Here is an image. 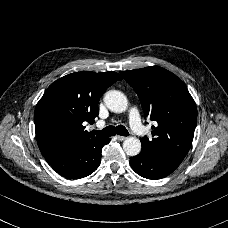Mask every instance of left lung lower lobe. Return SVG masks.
<instances>
[{
    "label": "left lung lower lobe",
    "instance_id": "left-lung-lower-lobe-1",
    "mask_svg": "<svg viewBox=\"0 0 228 228\" xmlns=\"http://www.w3.org/2000/svg\"><path fill=\"white\" fill-rule=\"evenodd\" d=\"M182 160L153 155L142 148L137 156L130 158V165L138 175L155 180L171 174Z\"/></svg>",
    "mask_w": 228,
    "mask_h": 228
}]
</instances>
